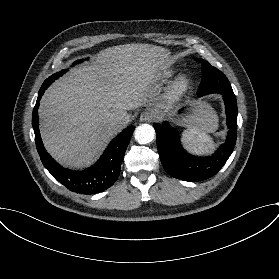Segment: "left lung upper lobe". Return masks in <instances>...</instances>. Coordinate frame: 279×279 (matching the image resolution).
I'll use <instances>...</instances> for the list:
<instances>
[{
  "label": "left lung upper lobe",
  "instance_id": "1",
  "mask_svg": "<svg viewBox=\"0 0 279 279\" xmlns=\"http://www.w3.org/2000/svg\"><path fill=\"white\" fill-rule=\"evenodd\" d=\"M196 61L202 63L203 72L202 80L197 91L199 97L210 93L234 96L230 82L220 70L211 66L205 60L196 59Z\"/></svg>",
  "mask_w": 279,
  "mask_h": 279
}]
</instances>
